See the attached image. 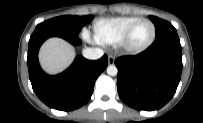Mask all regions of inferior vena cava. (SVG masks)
I'll use <instances>...</instances> for the list:
<instances>
[{
	"instance_id": "602c4592",
	"label": "inferior vena cava",
	"mask_w": 203,
	"mask_h": 123,
	"mask_svg": "<svg viewBox=\"0 0 203 123\" xmlns=\"http://www.w3.org/2000/svg\"><path fill=\"white\" fill-rule=\"evenodd\" d=\"M104 55V51L100 48H86L83 50V56L89 60H97Z\"/></svg>"
}]
</instances>
